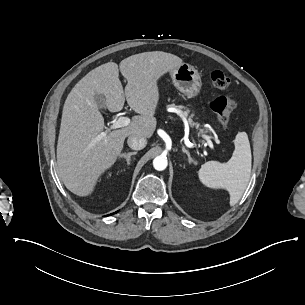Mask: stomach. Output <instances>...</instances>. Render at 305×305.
<instances>
[{
  "instance_id": "obj_1",
  "label": "stomach",
  "mask_w": 305,
  "mask_h": 305,
  "mask_svg": "<svg viewBox=\"0 0 305 305\" xmlns=\"http://www.w3.org/2000/svg\"><path fill=\"white\" fill-rule=\"evenodd\" d=\"M174 86L188 97L196 96L202 86L199 72L194 66L182 63L170 71Z\"/></svg>"
}]
</instances>
